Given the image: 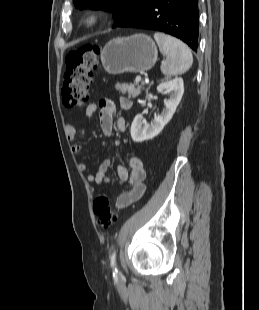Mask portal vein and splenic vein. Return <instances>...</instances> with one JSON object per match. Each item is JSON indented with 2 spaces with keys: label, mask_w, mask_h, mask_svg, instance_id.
Returning <instances> with one entry per match:
<instances>
[{
  "label": "portal vein and splenic vein",
  "mask_w": 259,
  "mask_h": 310,
  "mask_svg": "<svg viewBox=\"0 0 259 310\" xmlns=\"http://www.w3.org/2000/svg\"><path fill=\"white\" fill-rule=\"evenodd\" d=\"M140 81H141V76H137L136 79H135V82L139 83Z\"/></svg>",
  "instance_id": "portal-vein-and-splenic-vein-1"
}]
</instances>
